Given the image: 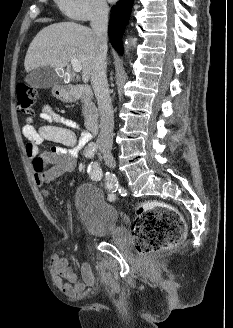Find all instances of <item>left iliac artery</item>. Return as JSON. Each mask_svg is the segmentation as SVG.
Listing matches in <instances>:
<instances>
[{"label": "left iliac artery", "instance_id": "44dca946", "mask_svg": "<svg viewBox=\"0 0 233 328\" xmlns=\"http://www.w3.org/2000/svg\"><path fill=\"white\" fill-rule=\"evenodd\" d=\"M88 172L89 175L91 177V179L95 180V181H99L102 178V170L101 168L98 166L97 163H94L92 166L88 167Z\"/></svg>", "mask_w": 233, "mask_h": 328}]
</instances>
